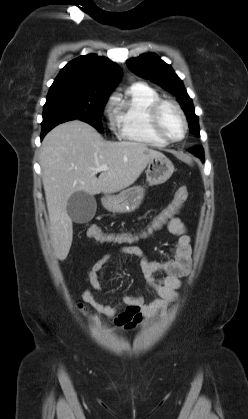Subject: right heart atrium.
I'll return each mask as SVG.
<instances>
[{
	"label": "right heart atrium",
	"instance_id": "obj_1",
	"mask_svg": "<svg viewBox=\"0 0 248 419\" xmlns=\"http://www.w3.org/2000/svg\"><path fill=\"white\" fill-rule=\"evenodd\" d=\"M111 103H112V99H110L105 111L107 114H111L114 117V112L112 113V109H111Z\"/></svg>",
	"mask_w": 248,
	"mask_h": 419
}]
</instances>
